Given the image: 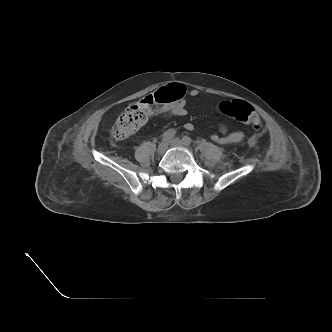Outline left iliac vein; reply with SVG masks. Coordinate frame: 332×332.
Listing matches in <instances>:
<instances>
[{
    "mask_svg": "<svg viewBox=\"0 0 332 332\" xmlns=\"http://www.w3.org/2000/svg\"><path fill=\"white\" fill-rule=\"evenodd\" d=\"M170 144L174 147H187L188 145H186L183 141H181L179 138H174L173 140L170 141Z\"/></svg>",
    "mask_w": 332,
    "mask_h": 332,
    "instance_id": "4c4485c4",
    "label": "left iliac vein"
}]
</instances>
